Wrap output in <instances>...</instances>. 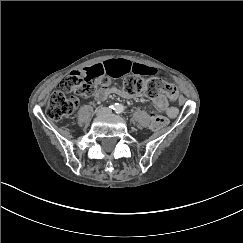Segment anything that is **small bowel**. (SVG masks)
Wrapping results in <instances>:
<instances>
[{
    "instance_id": "obj_1",
    "label": "small bowel",
    "mask_w": 243,
    "mask_h": 243,
    "mask_svg": "<svg viewBox=\"0 0 243 243\" xmlns=\"http://www.w3.org/2000/svg\"><path fill=\"white\" fill-rule=\"evenodd\" d=\"M85 73L109 75L117 78L128 73H135L138 75H154L156 69L144 64L133 63L126 59L110 60L104 63L93 65L86 69ZM116 93L120 96L125 94L116 88L100 89L96 92L95 98L98 101L105 100L109 93ZM155 107L158 111L165 113L167 116L174 118L178 115V109L175 106H170L169 101L164 97L155 99Z\"/></svg>"
}]
</instances>
